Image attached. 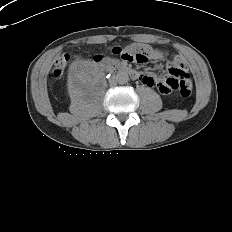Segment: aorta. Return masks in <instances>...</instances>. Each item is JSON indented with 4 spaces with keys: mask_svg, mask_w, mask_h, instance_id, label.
<instances>
[{
    "mask_svg": "<svg viewBox=\"0 0 232 232\" xmlns=\"http://www.w3.org/2000/svg\"><path fill=\"white\" fill-rule=\"evenodd\" d=\"M115 79L119 84H125V83L128 82L129 76H128V74L126 72H119L116 75Z\"/></svg>",
    "mask_w": 232,
    "mask_h": 232,
    "instance_id": "aorta-1",
    "label": "aorta"
}]
</instances>
